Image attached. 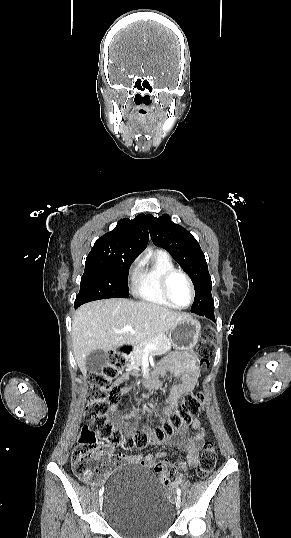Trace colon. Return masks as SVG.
I'll list each match as a JSON object with an SVG mask.
<instances>
[{"instance_id":"1","label":"colon","mask_w":291,"mask_h":538,"mask_svg":"<svg viewBox=\"0 0 291 538\" xmlns=\"http://www.w3.org/2000/svg\"><path fill=\"white\" fill-rule=\"evenodd\" d=\"M214 332L204 329L201 333L203 341L197 347L198 366L201 370L209 367L214 350L211 339ZM126 358L120 353L110 354L106 365L90 377L87 390L88 404L86 407V424L82 427L79 442L72 452L71 463L77 477L84 481L102 478L109 472L106 462L99 463L100 443L109 446L122 445L125 449H142L150 441H160L176 430L183 429L194 416L203 411L204 395L201 392L187 393L167 415L166 421L152 430L137 431L124 438L119 428L109 418V399L114 397L116 389L114 380L123 370ZM217 459L216 447L213 442L206 441L200 455L197 469L199 478H206L214 469ZM145 467H153L160 481L167 485L172 467L167 461L142 460Z\"/></svg>"}]
</instances>
